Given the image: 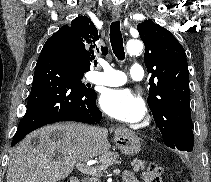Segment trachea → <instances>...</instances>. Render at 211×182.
Returning <instances> with one entry per match:
<instances>
[{"label":"trachea","instance_id":"1","mask_svg":"<svg viewBox=\"0 0 211 182\" xmlns=\"http://www.w3.org/2000/svg\"><path fill=\"white\" fill-rule=\"evenodd\" d=\"M110 42L113 53L118 60L123 61L125 58V51L123 46V37L120 31V22L114 21L110 26Z\"/></svg>","mask_w":211,"mask_h":182}]
</instances>
